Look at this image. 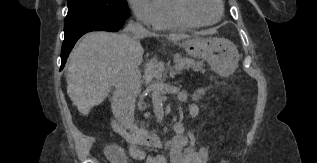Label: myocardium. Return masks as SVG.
I'll return each instance as SVG.
<instances>
[{"label":"myocardium","mask_w":317,"mask_h":163,"mask_svg":"<svg viewBox=\"0 0 317 163\" xmlns=\"http://www.w3.org/2000/svg\"><path fill=\"white\" fill-rule=\"evenodd\" d=\"M220 8L218 17L211 21H202L189 17L184 9V0H167L170 15L179 23L189 27L209 26L219 22L224 14L223 0H217Z\"/></svg>","instance_id":"1"}]
</instances>
